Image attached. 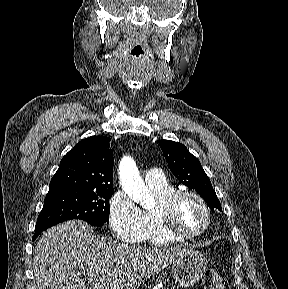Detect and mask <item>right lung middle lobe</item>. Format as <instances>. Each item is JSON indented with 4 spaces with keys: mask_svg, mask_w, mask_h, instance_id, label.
<instances>
[{
    "mask_svg": "<svg viewBox=\"0 0 288 289\" xmlns=\"http://www.w3.org/2000/svg\"><path fill=\"white\" fill-rule=\"evenodd\" d=\"M113 192V188L49 191L38 216L35 231H43L70 219H81L91 225L102 226L109 220V198Z\"/></svg>",
    "mask_w": 288,
    "mask_h": 289,
    "instance_id": "obj_1",
    "label": "right lung middle lobe"
}]
</instances>
